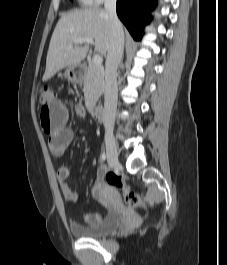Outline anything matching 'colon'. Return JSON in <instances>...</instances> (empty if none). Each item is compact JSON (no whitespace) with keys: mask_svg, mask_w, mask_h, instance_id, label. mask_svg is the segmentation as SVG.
<instances>
[{"mask_svg":"<svg viewBox=\"0 0 227 265\" xmlns=\"http://www.w3.org/2000/svg\"><path fill=\"white\" fill-rule=\"evenodd\" d=\"M37 95L41 106L42 102H49L54 98L52 89L47 85H40L37 88ZM106 181L110 186L117 188L122 193L123 199L128 206L145 207L142 198L130 189L122 174L118 172H109L106 174Z\"/></svg>","mask_w":227,"mask_h":265,"instance_id":"colon-1","label":"colon"}]
</instances>
